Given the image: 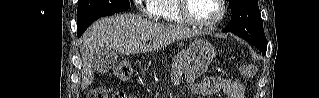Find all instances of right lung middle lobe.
<instances>
[{"instance_id": "right-lung-middle-lobe-1", "label": "right lung middle lobe", "mask_w": 319, "mask_h": 98, "mask_svg": "<svg viewBox=\"0 0 319 98\" xmlns=\"http://www.w3.org/2000/svg\"><path fill=\"white\" fill-rule=\"evenodd\" d=\"M129 8V0H79L77 21L99 15L114 14Z\"/></svg>"}]
</instances>
